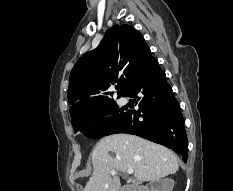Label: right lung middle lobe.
<instances>
[{"label": "right lung middle lobe", "mask_w": 233, "mask_h": 191, "mask_svg": "<svg viewBox=\"0 0 233 191\" xmlns=\"http://www.w3.org/2000/svg\"><path fill=\"white\" fill-rule=\"evenodd\" d=\"M124 114L112 100L71 117L72 126L75 133L81 131L88 138H100L111 130Z\"/></svg>", "instance_id": "obj_1"}]
</instances>
